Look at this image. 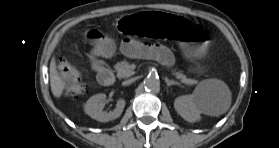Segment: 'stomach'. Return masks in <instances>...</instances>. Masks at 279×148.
I'll return each instance as SVG.
<instances>
[{
  "label": "stomach",
  "mask_w": 279,
  "mask_h": 148,
  "mask_svg": "<svg viewBox=\"0 0 279 148\" xmlns=\"http://www.w3.org/2000/svg\"><path fill=\"white\" fill-rule=\"evenodd\" d=\"M117 25L125 34L146 35L158 41L180 43L189 58L204 57L205 50L214 39L213 27L208 22L193 16L168 15L146 7L135 14L122 16ZM82 39L98 58H107L114 50L112 41L99 27L87 28Z\"/></svg>",
  "instance_id": "0dacf381"
}]
</instances>
